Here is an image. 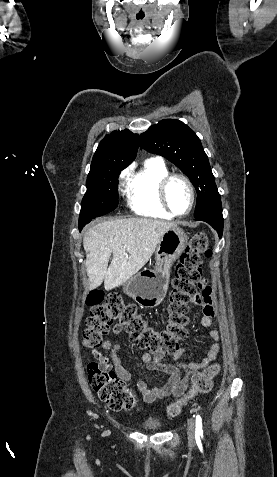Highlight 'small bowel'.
Listing matches in <instances>:
<instances>
[{"instance_id": "small-bowel-1", "label": "small bowel", "mask_w": 277, "mask_h": 477, "mask_svg": "<svg viewBox=\"0 0 277 477\" xmlns=\"http://www.w3.org/2000/svg\"><path fill=\"white\" fill-rule=\"evenodd\" d=\"M193 302L203 310L202 325L208 329L210 337L215 341L207 348L206 356L200 362L184 363L180 361L185 349L179 348L173 354L156 353L153 356L146 352L142 355V362L150 371H159L168 375L165 384L159 387H150L148 380L140 377L137 380V387L142 394L145 402L153 403L158 399L167 397H181L188 388L190 379L199 371L208 368L217 358L220 351V334L213 329V321L216 316V302L213 290L210 286L203 283V289ZM123 330L122 326L117 324L113 328L114 334H119ZM101 347L110 351V359L98 349L93 348L91 353L96 361L107 363L114 368L115 374L121 381H129L132 378V371L124 365L120 356L121 346L113 343L111 339L106 338L102 341Z\"/></svg>"}]
</instances>
